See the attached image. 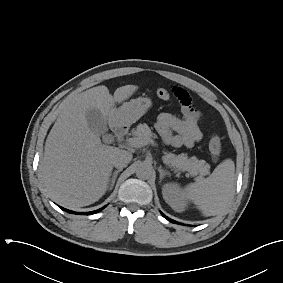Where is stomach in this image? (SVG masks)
<instances>
[{
  "label": "stomach",
  "instance_id": "obj_1",
  "mask_svg": "<svg viewBox=\"0 0 283 283\" xmlns=\"http://www.w3.org/2000/svg\"><path fill=\"white\" fill-rule=\"evenodd\" d=\"M152 106V101L148 97H138L125 102L116 109V117L119 123L132 124L139 120Z\"/></svg>",
  "mask_w": 283,
  "mask_h": 283
}]
</instances>
